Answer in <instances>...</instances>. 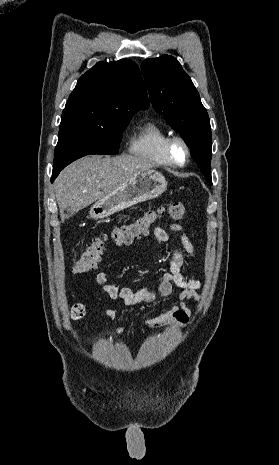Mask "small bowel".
<instances>
[{
  "mask_svg": "<svg viewBox=\"0 0 279 465\" xmlns=\"http://www.w3.org/2000/svg\"><path fill=\"white\" fill-rule=\"evenodd\" d=\"M171 230L180 233L183 251L188 260H193L196 257V249L190 241L182 225L173 223L170 226ZM154 241L157 245L162 246L168 241V232L161 227L154 229ZM186 259L184 253L179 249L172 250V259L170 262V270L164 274L160 284L156 289L142 287L133 290L128 287H117L107 284V276L104 272L98 273L96 277L97 285L105 292L111 300L123 301L127 306H135L142 303H152L158 298H166L171 295L173 288L180 289L179 302L168 311L147 319L143 324L148 328L161 327L169 325L173 328L185 326L191 317L189 310L186 308V301L190 299L199 300V289L201 282L195 278H188L184 274ZM106 316L113 320L115 312L111 309L105 311ZM133 325V324H132ZM116 333L123 334L126 331L124 327L115 328Z\"/></svg>",
  "mask_w": 279,
  "mask_h": 465,
  "instance_id": "c3829d8e",
  "label": "small bowel"
}]
</instances>
